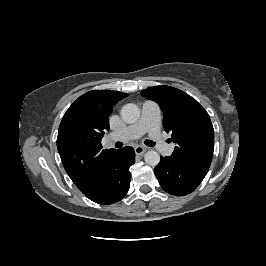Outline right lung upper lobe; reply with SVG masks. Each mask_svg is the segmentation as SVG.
Here are the masks:
<instances>
[{"label": "right lung upper lobe", "instance_id": "obj_1", "mask_svg": "<svg viewBox=\"0 0 266 266\" xmlns=\"http://www.w3.org/2000/svg\"><path fill=\"white\" fill-rule=\"evenodd\" d=\"M127 94L93 90L80 96L66 111L59 126L57 148L64 168L83 194L97 184L116 149H102L113 106Z\"/></svg>", "mask_w": 266, "mask_h": 266}]
</instances>
